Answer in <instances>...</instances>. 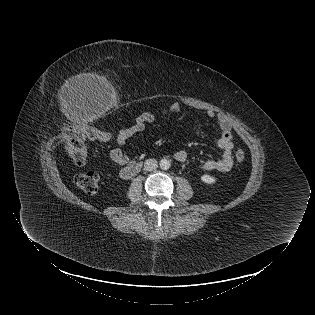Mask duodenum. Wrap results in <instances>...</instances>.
<instances>
[{"label":"duodenum","instance_id":"duodenum-1","mask_svg":"<svg viewBox=\"0 0 315 315\" xmlns=\"http://www.w3.org/2000/svg\"><path fill=\"white\" fill-rule=\"evenodd\" d=\"M140 169L141 163H131L121 170V177L124 179H129L133 177L136 173H138Z\"/></svg>","mask_w":315,"mask_h":315}]
</instances>
